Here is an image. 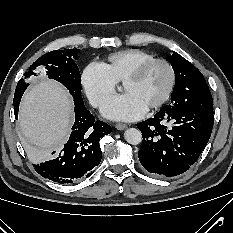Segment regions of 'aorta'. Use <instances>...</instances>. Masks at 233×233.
I'll return each mask as SVG.
<instances>
[{"label": "aorta", "mask_w": 233, "mask_h": 233, "mask_svg": "<svg viewBox=\"0 0 233 233\" xmlns=\"http://www.w3.org/2000/svg\"><path fill=\"white\" fill-rule=\"evenodd\" d=\"M124 138L127 143L131 145H137L142 141V134L140 130L136 128H129L125 131Z\"/></svg>", "instance_id": "aorta-1"}]
</instances>
